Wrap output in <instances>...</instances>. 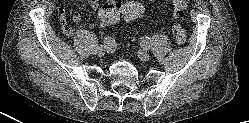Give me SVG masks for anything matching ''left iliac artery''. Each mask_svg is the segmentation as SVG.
<instances>
[{"label": "left iliac artery", "mask_w": 249, "mask_h": 123, "mask_svg": "<svg viewBox=\"0 0 249 123\" xmlns=\"http://www.w3.org/2000/svg\"><path fill=\"white\" fill-rule=\"evenodd\" d=\"M141 46L144 49H149L150 48V38L149 37L141 38Z\"/></svg>", "instance_id": "1"}]
</instances>
